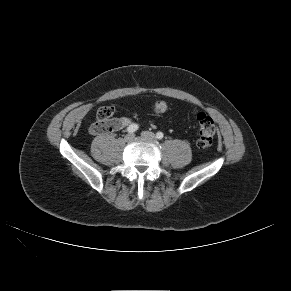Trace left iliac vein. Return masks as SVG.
<instances>
[{"label": "left iliac vein", "instance_id": "1", "mask_svg": "<svg viewBox=\"0 0 291 291\" xmlns=\"http://www.w3.org/2000/svg\"><path fill=\"white\" fill-rule=\"evenodd\" d=\"M141 136L144 137V138H149V139H155V134L152 133V132H149V131H143L141 133Z\"/></svg>", "mask_w": 291, "mask_h": 291}]
</instances>
